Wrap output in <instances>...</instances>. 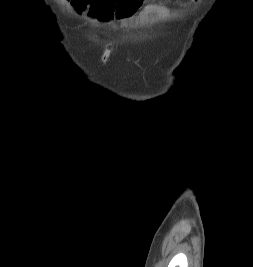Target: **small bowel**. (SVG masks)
<instances>
[{"instance_id": "obj_1", "label": "small bowel", "mask_w": 253, "mask_h": 267, "mask_svg": "<svg viewBox=\"0 0 253 267\" xmlns=\"http://www.w3.org/2000/svg\"><path fill=\"white\" fill-rule=\"evenodd\" d=\"M78 10H87L96 20L108 22L115 19L131 18L137 12L142 18L152 13H166L167 8L156 3H146V0H70ZM198 1V0H193Z\"/></svg>"}]
</instances>
